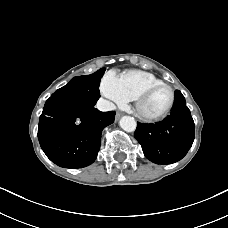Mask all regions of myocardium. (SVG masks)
Returning <instances> with one entry per match:
<instances>
[{
  "instance_id": "obj_1",
  "label": "myocardium",
  "mask_w": 228,
  "mask_h": 228,
  "mask_svg": "<svg viewBox=\"0 0 228 228\" xmlns=\"http://www.w3.org/2000/svg\"><path fill=\"white\" fill-rule=\"evenodd\" d=\"M159 87H166V88L169 89V91L171 93V99H170V102H169L168 106L160 114H157V115H147V114H144L141 111V108H140L142 101L153 90H155L156 88H159ZM174 103H175V91H174V89L169 84L164 83V82L153 83V84H150V85L146 86L134 98V105H135L136 114H137V116L140 119H142L143 121H146V122H156V121H159V120H162L163 118H165L171 112V110H172V108L174 106Z\"/></svg>"
}]
</instances>
